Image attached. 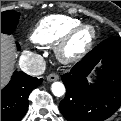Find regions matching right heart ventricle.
Returning a JSON list of instances; mask_svg holds the SVG:
<instances>
[{"mask_svg": "<svg viewBox=\"0 0 121 121\" xmlns=\"http://www.w3.org/2000/svg\"><path fill=\"white\" fill-rule=\"evenodd\" d=\"M78 24L76 19L64 15H49L35 26L31 39L38 44L52 45L59 42Z\"/></svg>", "mask_w": 121, "mask_h": 121, "instance_id": "1", "label": "right heart ventricle"}]
</instances>
